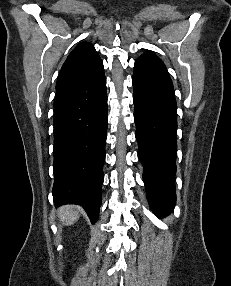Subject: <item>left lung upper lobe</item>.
Segmentation results:
<instances>
[{
	"instance_id": "5c2ea615",
	"label": "left lung upper lobe",
	"mask_w": 231,
	"mask_h": 286,
	"mask_svg": "<svg viewBox=\"0 0 231 286\" xmlns=\"http://www.w3.org/2000/svg\"><path fill=\"white\" fill-rule=\"evenodd\" d=\"M139 58L148 59L152 61H157L163 63L161 59H159L156 55H154L151 51L146 52L145 54L141 55Z\"/></svg>"
}]
</instances>
